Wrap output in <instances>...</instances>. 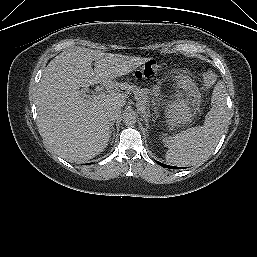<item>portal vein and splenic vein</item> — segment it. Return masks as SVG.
<instances>
[{
    "label": "portal vein and splenic vein",
    "instance_id": "obj_1",
    "mask_svg": "<svg viewBox=\"0 0 257 257\" xmlns=\"http://www.w3.org/2000/svg\"><path fill=\"white\" fill-rule=\"evenodd\" d=\"M104 96H105L104 94L99 93V94H97V95H94V96H93V99H100V98H103ZM141 110L143 111L144 109L141 108Z\"/></svg>",
    "mask_w": 257,
    "mask_h": 257
}]
</instances>
